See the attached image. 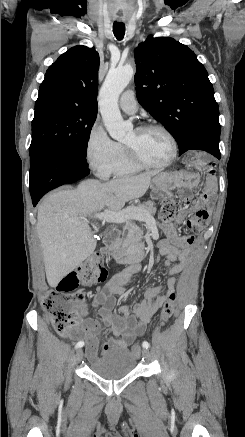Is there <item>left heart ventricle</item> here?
Wrapping results in <instances>:
<instances>
[{"label": "left heart ventricle", "instance_id": "1", "mask_svg": "<svg viewBox=\"0 0 245 437\" xmlns=\"http://www.w3.org/2000/svg\"><path fill=\"white\" fill-rule=\"evenodd\" d=\"M143 160L159 163L167 160L171 154V144L168 138L159 130L136 132L132 130L124 140Z\"/></svg>", "mask_w": 245, "mask_h": 437}]
</instances>
